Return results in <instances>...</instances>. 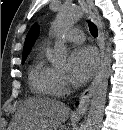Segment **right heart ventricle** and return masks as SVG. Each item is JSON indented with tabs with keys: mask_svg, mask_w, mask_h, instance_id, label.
Segmentation results:
<instances>
[{
	"mask_svg": "<svg viewBox=\"0 0 123 130\" xmlns=\"http://www.w3.org/2000/svg\"><path fill=\"white\" fill-rule=\"evenodd\" d=\"M57 76L58 71L46 59V51L39 50L33 59L29 72L34 93L42 97L58 95Z\"/></svg>",
	"mask_w": 123,
	"mask_h": 130,
	"instance_id": "right-heart-ventricle-1",
	"label": "right heart ventricle"
}]
</instances>
